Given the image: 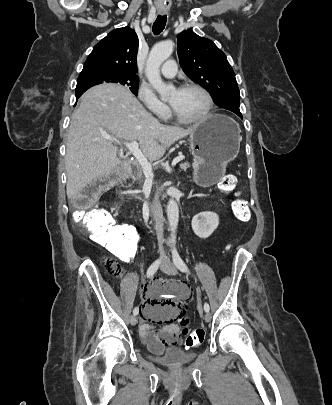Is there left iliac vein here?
I'll list each match as a JSON object with an SVG mask.
<instances>
[{"label": "left iliac vein", "instance_id": "obj_1", "mask_svg": "<svg viewBox=\"0 0 332 405\" xmlns=\"http://www.w3.org/2000/svg\"><path fill=\"white\" fill-rule=\"evenodd\" d=\"M161 269L169 275H175L177 273L176 267L174 266V264L171 262V260L168 257H165L163 259L162 264H161ZM211 319H212L211 314L209 312H206L204 315V320L206 322H210Z\"/></svg>", "mask_w": 332, "mask_h": 405}]
</instances>
